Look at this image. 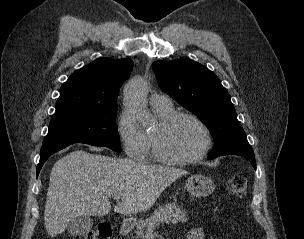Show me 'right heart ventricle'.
<instances>
[{
	"label": "right heart ventricle",
	"instance_id": "obj_1",
	"mask_svg": "<svg viewBox=\"0 0 304 239\" xmlns=\"http://www.w3.org/2000/svg\"><path fill=\"white\" fill-rule=\"evenodd\" d=\"M153 111L157 115L159 119V123L165 119L167 116L171 115L174 113L176 110L173 106L172 103H157V104H152ZM157 128V127H156ZM155 129L145 131L148 137L150 149H153V137L155 133Z\"/></svg>",
	"mask_w": 304,
	"mask_h": 239
}]
</instances>
